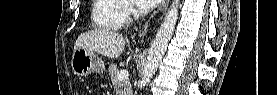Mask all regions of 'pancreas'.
Returning <instances> with one entry per match:
<instances>
[{
    "mask_svg": "<svg viewBox=\"0 0 277 95\" xmlns=\"http://www.w3.org/2000/svg\"><path fill=\"white\" fill-rule=\"evenodd\" d=\"M118 69L116 64H111L109 65L108 68V73L111 79V82L114 86V89L116 91L117 95H131L132 90H131V85L128 79L126 80H118L116 78Z\"/></svg>",
    "mask_w": 277,
    "mask_h": 95,
    "instance_id": "obj_1",
    "label": "pancreas"
}]
</instances>
